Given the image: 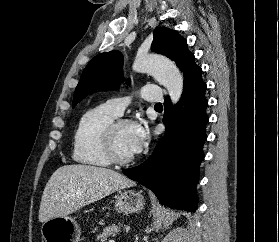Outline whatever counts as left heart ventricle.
Listing matches in <instances>:
<instances>
[{
	"mask_svg": "<svg viewBox=\"0 0 279 242\" xmlns=\"http://www.w3.org/2000/svg\"><path fill=\"white\" fill-rule=\"evenodd\" d=\"M134 125L121 126L115 135L116 150L122 157H131L134 155L132 151V135Z\"/></svg>",
	"mask_w": 279,
	"mask_h": 242,
	"instance_id": "left-heart-ventricle-1",
	"label": "left heart ventricle"
}]
</instances>
